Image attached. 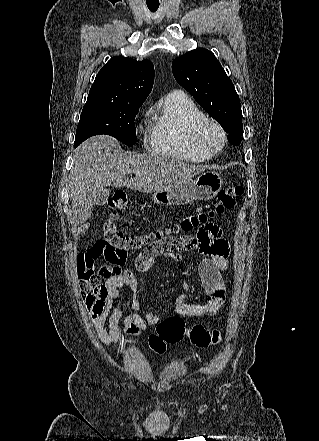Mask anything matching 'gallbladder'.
Returning <instances> with one entry per match:
<instances>
[{"instance_id": "gallbladder-1", "label": "gallbladder", "mask_w": 319, "mask_h": 441, "mask_svg": "<svg viewBox=\"0 0 319 441\" xmlns=\"http://www.w3.org/2000/svg\"><path fill=\"white\" fill-rule=\"evenodd\" d=\"M110 192L106 188H102L96 194L94 204L97 206H103L109 199Z\"/></svg>"}]
</instances>
